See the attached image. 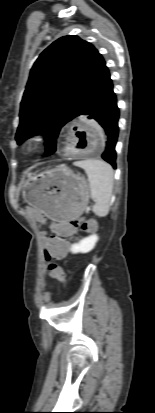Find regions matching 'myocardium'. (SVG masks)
<instances>
[{"label": "myocardium", "mask_w": 155, "mask_h": 413, "mask_svg": "<svg viewBox=\"0 0 155 413\" xmlns=\"http://www.w3.org/2000/svg\"><path fill=\"white\" fill-rule=\"evenodd\" d=\"M43 135L40 133L34 134L27 138L22 144V151L25 154L33 153L40 145Z\"/></svg>", "instance_id": "myocardium-1"}]
</instances>
